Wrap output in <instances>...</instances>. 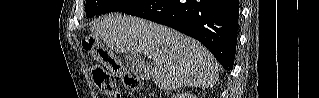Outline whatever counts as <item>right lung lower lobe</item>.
I'll return each instance as SVG.
<instances>
[{
    "mask_svg": "<svg viewBox=\"0 0 319 98\" xmlns=\"http://www.w3.org/2000/svg\"><path fill=\"white\" fill-rule=\"evenodd\" d=\"M125 13L169 26L199 40L226 71L232 69L239 0H148Z\"/></svg>",
    "mask_w": 319,
    "mask_h": 98,
    "instance_id": "right-lung-lower-lobe-1",
    "label": "right lung lower lobe"
}]
</instances>
